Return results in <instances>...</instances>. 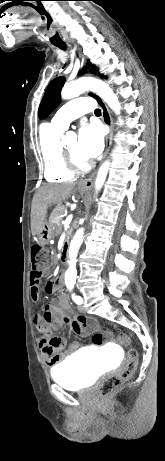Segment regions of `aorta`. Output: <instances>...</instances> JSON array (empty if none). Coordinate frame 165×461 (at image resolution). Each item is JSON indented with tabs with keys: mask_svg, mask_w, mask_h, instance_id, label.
<instances>
[{
	"mask_svg": "<svg viewBox=\"0 0 165 461\" xmlns=\"http://www.w3.org/2000/svg\"><path fill=\"white\" fill-rule=\"evenodd\" d=\"M94 91L96 92L108 105L109 107L119 114L120 110V103L118 98L114 94L113 90L110 86L102 80L91 78V77H83L73 82L67 83L64 85L61 96L63 99H72L78 97L85 91ZM110 162L105 161L101 167L99 168L98 175L96 178V189L99 190L105 182L108 169H109ZM84 229H79L74 238L72 239L69 247V268L65 273V281L66 282H75L77 271H76V262H77V254L78 250L82 244L83 240Z\"/></svg>",
	"mask_w": 165,
	"mask_h": 461,
	"instance_id": "obj_1",
	"label": "aorta"
}]
</instances>
